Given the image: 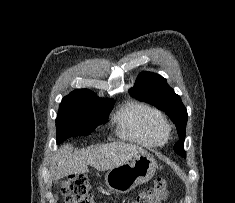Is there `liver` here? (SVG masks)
I'll list each match as a JSON object with an SVG mask.
<instances>
[{
  "instance_id": "1",
  "label": "liver",
  "mask_w": 235,
  "mask_h": 203,
  "mask_svg": "<svg viewBox=\"0 0 235 203\" xmlns=\"http://www.w3.org/2000/svg\"><path fill=\"white\" fill-rule=\"evenodd\" d=\"M147 151L134 144L113 142L102 146H91L76 151L67 144L62 146L56 154V179L71 174L88 172V165L98 171L110 170L127 163L133 157L146 154Z\"/></svg>"
}]
</instances>
